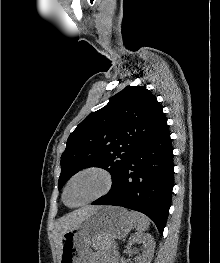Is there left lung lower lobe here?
I'll list each match as a JSON object with an SVG mask.
<instances>
[{
    "label": "left lung lower lobe",
    "mask_w": 220,
    "mask_h": 263,
    "mask_svg": "<svg viewBox=\"0 0 220 263\" xmlns=\"http://www.w3.org/2000/svg\"><path fill=\"white\" fill-rule=\"evenodd\" d=\"M173 148L165 118L133 151L111 190L92 202L147 215L163 234L174 186Z\"/></svg>",
    "instance_id": "1"
}]
</instances>
